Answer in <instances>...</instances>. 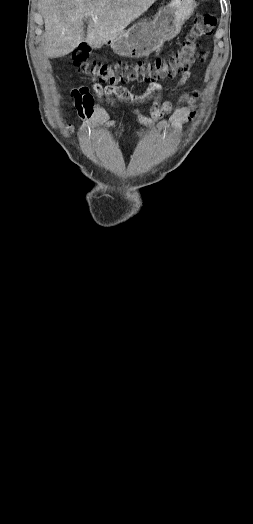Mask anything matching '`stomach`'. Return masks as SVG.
<instances>
[{
    "instance_id": "stomach-1",
    "label": "stomach",
    "mask_w": 253,
    "mask_h": 524,
    "mask_svg": "<svg viewBox=\"0 0 253 524\" xmlns=\"http://www.w3.org/2000/svg\"><path fill=\"white\" fill-rule=\"evenodd\" d=\"M195 7V0H172L159 10L152 21H139L108 39L105 44L122 57L148 56L180 33Z\"/></svg>"
}]
</instances>
